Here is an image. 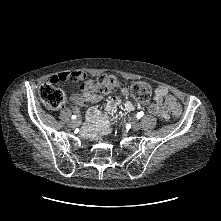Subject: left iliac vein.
<instances>
[{"label": "left iliac vein", "instance_id": "4c4485c4", "mask_svg": "<svg viewBox=\"0 0 221 221\" xmlns=\"http://www.w3.org/2000/svg\"><path fill=\"white\" fill-rule=\"evenodd\" d=\"M131 129H132L133 131H138V130L140 129V123H139V122H134V123L132 124Z\"/></svg>", "mask_w": 221, "mask_h": 221}]
</instances>
